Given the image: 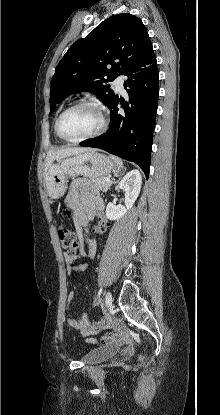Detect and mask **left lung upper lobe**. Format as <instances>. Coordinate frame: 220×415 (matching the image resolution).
I'll return each mask as SVG.
<instances>
[{
    "label": "left lung upper lobe",
    "mask_w": 220,
    "mask_h": 415,
    "mask_svg": "<svg viewBox=\"0 0 220 415\" xmlns=\"http://www.w3.org/2000/svg\"><path fill=\"white\" fill-rule=\"evenodd\" d=\"M153 55L141 19L123 13L104 20L85 38L76 41L58 63L51 83L50 113L63 97L81 91L97 95L108 105L115 94L107 83L144 64Z\"/></svg>",
    "instance_id": "1"
}]
</instances>
